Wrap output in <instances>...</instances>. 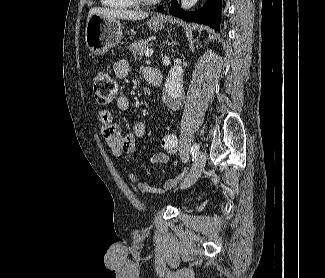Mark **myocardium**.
<instances>
[{"instance_id": "f54148a6", "label": "myocardium", "mask_w": 325, "mask_h": 278, "mask_svg": "<svg viewBox=\"0 0 325 278\" xmlns=\"http://www.w3.org/2000/svg\"><path fill=\"white\" fill-rule=\"evenodd\" d=\"M159 0H131V2L135 5H152Z\"/></svg>"}]
</instances>
